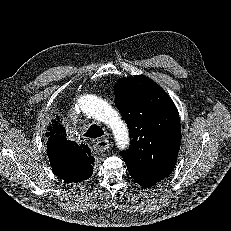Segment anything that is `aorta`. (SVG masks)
I'll return each instance as SVG.
<instances>
[{"mask_svg":"<svg viewBox=\"0 0 231 231\" xmlns=\"http://www.w3.org/2000/svg\"><path fill=\"white\" fill-rule=\"evenodd\" d=\"M76 104L84 114L111 128L118 147L125 148L128 145L127 126L106 101L92 94H83L78 97Z\"/></svg>","mask_w":231,"mask_h":231,"instance_id":"762f6f07","label":"aorta"}]
</instances>
